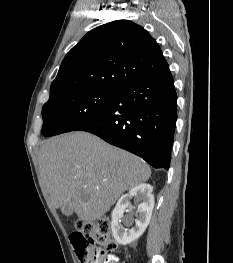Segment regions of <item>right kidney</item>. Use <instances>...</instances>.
<instances>
[{"label":"right kidney","instance_id":"obj_1","mask_svg":"<svg viewBox=\"0 0 233 263\" xmlns=\"http://www.w3.org/2000/svg\"><path fill=\"white\" fill-rule=\"evenodd\" d=\"M153 187L142 183L132 188L129 193L121 196L112 212V234L115 240L122 245H128L138 239L146 230L154 208ZM135 198L139 203L137 206V218L135 227L130 230L121 225V218L125 209L131 207L130 200ZM131 224L128 223V225Z\"/></svg>","mask_w":233,"mask_h":263}]
</instances>
